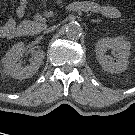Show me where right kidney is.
Segmentation results:
<instances>
[{
  "label": "right kidney",
  "instance_id": "1",
  "mask_svg": "<svg viewBox=\"0 0 135 135\" xmlns=\"http://www.w3.org/2000/svg\"><path fill=\"white\" fill-rule=\"evenodd\" d=\"M26 52L24 44L18 43L14 45L3 58L4 71L6 74L16 79H26L35 74L42 64L44 52L42 50L32 51V60L29 65L21 66L18 61Z\"/></svg>",
  "mask_w": 135,
  "mask_h": 135
}]
</instances>
